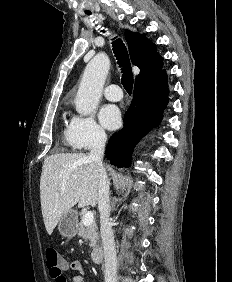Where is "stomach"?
I'll list each match as a JSON object with an SVG mask.
<instances>
[{"label":"stomach","mask_w":232,"mask_h":282,"mask_svg":"<svg viewBox=\"0 0 232 282\" xmlns=\"http://www.w3.org/2000/svg\"><path fill=\"white\" fill-rule=\"evenodd\" d=\"M58 231L62 237L73 238L78 232V218L75 210L70 209L65 212L57 225Z\"/></svg>","instance_id":"stomach-1"}]
</instances>
